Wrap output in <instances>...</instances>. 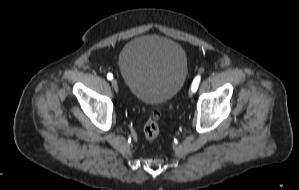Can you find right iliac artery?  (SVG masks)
<instances>
[{"instance_id": "obj_1", "label": "right iliac artery", "mask_w": 299, "mask_h": 190, "mask_svg": "<svg viewBox=\"0 0 299 190\" xmlns=\"http://www.w3.org/2000/svg\"><path fill=\"white\" fill-rule=\"evenodd\" d=\"M107 79H108V80H112V79H113V75H112L111 73H108V74H107Z\"/></svg>"}]
</instances>
